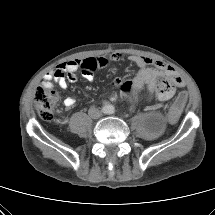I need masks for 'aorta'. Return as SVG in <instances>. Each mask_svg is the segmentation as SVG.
Segmentation results:
<instances>
[{"instance_id":"aorta-1","label":"aorta","mask_w":215,"mask_h":215,"mask_svg":"<svg viewBox=\"0 0 215 215\" xmlns=\"http://www.w3.org/2000/svg\"><path fill=\"white\" fill-rule=\"evenodd\" d=\"M114 110V107L112 105H107L105 107V111L108 112V113H112Z\"/></svg>"}]
</instances>
